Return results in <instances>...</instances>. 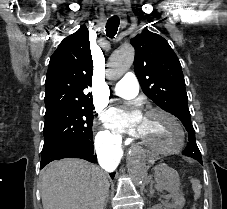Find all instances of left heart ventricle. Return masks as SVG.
<instances>
[{
  "label": "left heart ventricle",
  "mask_w": 227,
  "mask_h": 209,
  "mask_svg": "<svg viewBox=\"0 0 227 209\" xmlns=\"http://www.w3.org/2000/svg\"><path fill=\"white\" fill-rule=\"evenodd\" d=\"M136 134L151 145L162 149L174 147L179 139L176 127L161 114L145 116Z\"/></svg>",
  "instance_id": "b2bd125f"
}]
</instances>
